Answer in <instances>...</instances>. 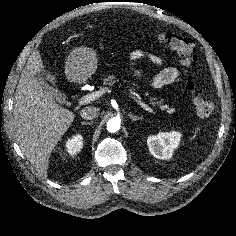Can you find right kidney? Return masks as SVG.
Here are the masks:
<instances>
[{
	"label": "right kidney",
	"mask_w": 236,
	"mask_h": 236,
	"mask_svg": "<svg viewBox=\"0 0 236 236\" xmlns=\"http://www.w3.org/2000/svg\"><path fill=\"white\" fill-rule=\"evenodd\" d=\"M83 146V137L80 134L74 135L71 139H68L65 143L66 151L70 155L77 154Z\"/></svg>",
	"instance_id": "ca27d5eb"
}]
</instances>
